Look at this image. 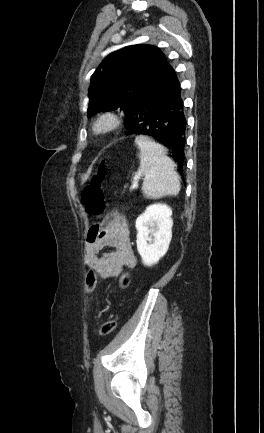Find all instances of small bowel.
Returning a JSON list of instances; mask_svg holds the SVG:
<instances>
[{"label":"small bowel","instance_id":"1","mask_svg":"<svg viewBox=\"0 0 264 433\" xmlns=\"http://www.w3.org/2000/svg\"><path fill=\"white\" fill-rule=\"evenodd\" d=\"M106 248L111 251L103 253ZM84 263L102 278L117 276L125 267L136 264L123 214L112 211L102 222L90 227L84 247Z\"/></svg>","mask_w":264,"mask_h":433}]
</instances>
